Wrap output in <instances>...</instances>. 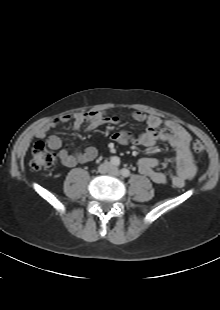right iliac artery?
<instances>
[{"mask_svg": "<svg viewBox=\"0 0 220 310\" xmlns=\"http://www.w3.org/2000/svg\"><path fill=\"white\" fill-rule=\"evenodd\" d=\"M111 164L114 166H119L120 164V159L117 156H113L110 160Z\"/></svg>", "mask_w": 220, "mask_h": 310, "instance_id": "1", "label": "right iliac artery"}]
</instances>
